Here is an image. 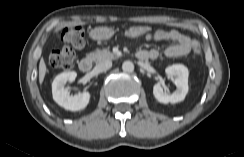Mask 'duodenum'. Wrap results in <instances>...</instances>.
I'll use <instances>...</instances> for the list:
<instances>
[{
	"label": "duodenum",
	"mask_w": 244,
	"mask_h": 157,
	"mask_svg": "<svg viewBox=\"0 0 244 157\" xmlns=\"http://www.w3.org/2000/svg\"><path fill=\"white\" fill-rule=\"evenodd\" d=\"M92 64H93L92 58L84 57L79 61V68L82 72H89L92 69Z\"/></svg>",
	"instance_id": "410a0bca"
}]
</instances>
